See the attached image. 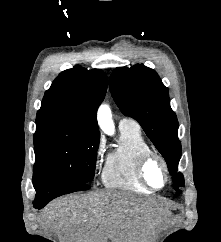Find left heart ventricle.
<instances>
[{
	"label": "left heart ventricle",
	"mask_w": 221,
	"mask_h": 242,
	"mask_svg": "<svg viewBox=\"0 0 221 242\" xmlns=\"http://www.w3.org/2000/svg\"><path fill=\"white\" fill-rule=\"evenodd\" d=\"M146 176L150 184L159 188L165 182V174L162 165L157 160H152L146 168Z\"/></svg>",
	"instance_id": "1"
}]
</instances>
